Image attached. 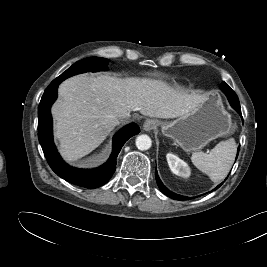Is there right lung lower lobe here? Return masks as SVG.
Returning <instances> with one entry per match:
<instances>
[{
	"instance_id": "98d812e1",
	"label": "right lung lower lobe",
	"mask_w": 267,
	"mask_h": 267,
	"mask_svg": "<svg viewBox=\"0 0 267 267\" xmlns=\"http://www.w3.org/2000/svg\"><path fill=\"white\" fill-rule=\"evenodd\" d=\"M62 81L54 80L45 90L38 108V138L51 169L61 178L72 184L93 189L107 183L116 169V157L130 137L138 134L140 128L131 123L113 138V151L106 163L95 169H78L66 164L58 154L52 136V117L50 108L57 98L58 85Z\"/></svg>"
}]
</instances>
